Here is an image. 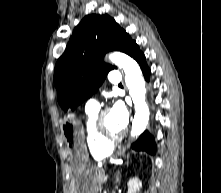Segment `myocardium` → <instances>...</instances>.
<instances>
[{
	"mask_svg": "<svg viewBox=\"0 0 221 193\" xmlns=\"http://www.w3.org/2000/svg\"><path fill=\"white\" fill-rule=\"evenodd\" d=\"M109 112V109H103L99 114L97 115L96 122H95V131L99 137V139L107 144V145H113L123 139L125 136L126 132L122 131L120 134L113 135L109 134L105 128L104 125V118L106 114Z\"/></svg>",
	"mask_w": 221,
	"mask_h": 193,
	"instance_id": "f54148a6",
	"label": "myocardium"
}]
</instances>
